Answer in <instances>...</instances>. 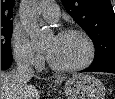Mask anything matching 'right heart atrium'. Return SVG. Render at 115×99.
<instances>
[{
  "instance_id": "1",
  "label": "right heart atrium",
  "mask_w": 115,
  "mask_h": 99,
  "mask_svg": "<svg viewBox=\"0 0 115 99\" xmlns=\"http://www.w3.org/2000/svg\"><path fill=\"white\" fill-rule=\"evenodd\" d=\"M12 52L15 60L23 66L38 67L42 63V57L20 32H14L12 35Z\"/></svg>"
}]
</instances>
